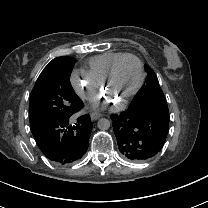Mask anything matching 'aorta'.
<instances>
[{"label": "aorta", "instance_id": "obj_1", "mask_svg": "<svg viewBox=\"0 0 208 208\" xmlns=\"http://www.w3.org/2000/svg\"><path fill=\"white\" fill-rule=\"evenodd\" d=\"M97 127L100 130H107L110 127V121L108 119L102 118V119L98 120Z\"/></svg>", "mask_w": 208, "mask_h": 208}]
</instances>
